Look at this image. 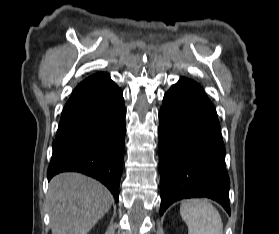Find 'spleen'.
<instances>
[{
    "instance_id": "obj_1",
    "label": "spleen",
    "mask_w": 279,
    "mask_h": 234,
    "mask_svg": "<svg viewBox=\"0 0 279 234\" xmlns=\"http://www.w3.org/2000/svg\"><path fill=\"white\" fill-rule=\"evenodd\" d=\"M180 215L188 226V234H223L218 210L205 199L182 202Z\"/></svg>"
}]
</instances>
